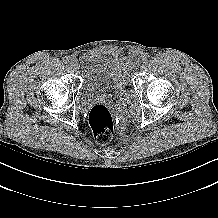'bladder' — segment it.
Listing matches in <instances>:
<instances>
[{
  "mask_svg": "<svg viewBox=\"0 0 218 218\" xmlns=\"http://www.w3.org/2000/svg\"><path fill=\"white\" fill-rule=\"evenodd\" d=\"M83 92L88 97L122 95L131 85L128 59L100 53H87L80 58Z\"/></svg>",
  "mask_w": 218,
  "mask_h": 218,
  "instance_id": "1",
  "label": "bladder"
}]
</instances>
